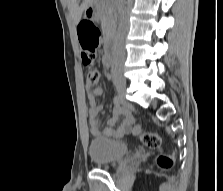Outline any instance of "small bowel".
Returning <instances> with one entry per match:
<instances>
[{"instance_id": "1", "label": "small bowel", "mask_w": 223, "mask_h": 191, "mask_svg": "<svg viewBox=\"0 0 223 191\" xmlns=\"http://www.w3.org/2000/svg\"><path fill=\"white\" fill-rule=\"evenodd\" d=\"M84 26L98 29L91 23H86ZM102 62L106 69H108L111 65V58L103 55ZM86 89L88 95V120L91 134L95 137L105 136L110 138H121L129 134L134 121L131 111L114 101L112 117L108 120L107 126L101 129L98 116L102 112L103 106L98 104L97 98L103 95V89L101 87H95L89 82ZM121 116L122 119L116 125Z\"/></svg>"}]
</instances>
